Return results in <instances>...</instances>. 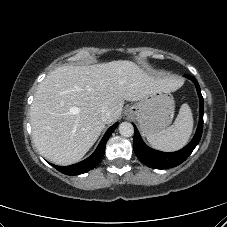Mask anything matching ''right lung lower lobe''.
<instances>
[{
  "mask_svg": "<svg viewBox=\"0 0 227 227\" xmlns=\"http://www.w3.org/2000/svg\"><path fill=\"white\" fill-rule=\"evenodd\" d=\"M118 123H115L113 126H111L105 135L103 136L102 140L100 141L98 147L94 151V153L88 157L87 159L83 160L82 162H79L74 165L70 166H57L53 165L54 168H56L58 171H60L63 174L66 175H79L86 173L93 169L103 158L104 152H105V146L106 142L109 139L112 132L117 127Z\"/></svg>",
  "mask_w": 227,
  "mask_h": 227,
  "instance_id": "1",
  "label": "right lung lower lobe"
}]
</instances>
